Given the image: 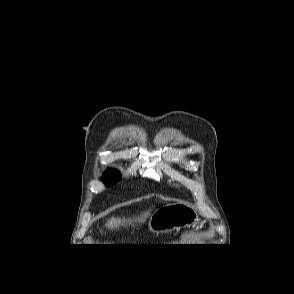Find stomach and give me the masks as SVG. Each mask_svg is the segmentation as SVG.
Returning <instances> with one entry per match:
<instances>
[{"mask_svg": "<svg viewBox=\"0 0 294 294\" xmlns=\"http://www.w3.org/2000/svg\"><path fill=\"white\" fill-rule=\"evenodd\" d=\"M199 221L198 215L190 207L179 203H168L151 215L148 226L152 232L158 234L182 227H194Z\"/></svg>", "mask_w": 294, "mask_h": 294, "instance_id": "1", "label": "stomach"}]
</instances>
